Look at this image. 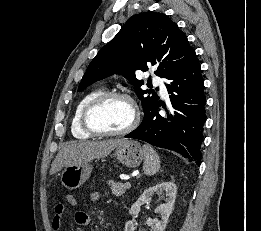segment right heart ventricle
Wrapping results in <instances>:
<instances>
[{"label":"right heart ventricle","mask_w":261,"mask_h":231,"mask_svg":"<svg viewBox=\"0 0 261 231\" xmlns=\"http://www.w3.org/2000/svg\"><path fill=\"white\" fill-rule=\"evenodd\" d=\"M101 93H103V90L101 89H95L91 91L90 93L86 94L80 102L77 104L74 113L72 115L71 119V133L73 136L77 139H88L91 138L93 135L86 132L82 127L81 117L84 108L86 105L92 101L94 98L99 96Z\"/></svg>","instance_id":"right-heart-ventricle-1"}]
</instances>
